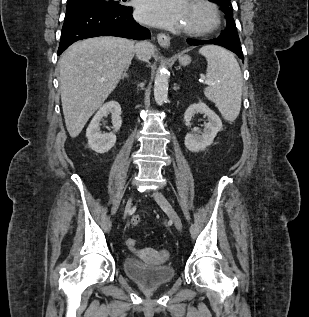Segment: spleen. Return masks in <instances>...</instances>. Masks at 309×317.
<instances>
[{
    "label": "spleen",
    "mask_w": 309,
    "mask_h": 317,
    "mask_svg": "<svg viewBox=\"0 0 309 317\" xmlns=\"http://www.w3.org/2000/svg\"><path fill=\"white\" fill-rule=\"evenodd\" d=\"M207 60L206 78L209 86L204 89L206 98L233 122L239 115L242 97V75L240 66L232 53L215 45L199 49Z\"/></svg>",
    "instance_id": "obj_1"
}]
</instances>
